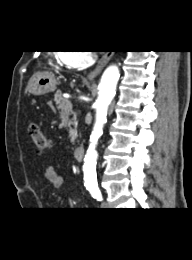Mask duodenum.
I'll list each match as a JSON object with an SVG mask.
<instances>
[{
  "label": "duodenum",
  "mask_w": 192,
  "mask_h": 260,
  "mask_svg": "<svg viewBox=\"0 0 192 260\" xmlns=\"http://www.w3.org/2000/svg\"><path fill=\"white\" fill-rule=\"evenodd\" d=\"M85 148L84 146H77L73 151V156L77 161H81L84 157Z\"/></svg>",
  "instance_id": "duodenum-1"
}]
</instances>
